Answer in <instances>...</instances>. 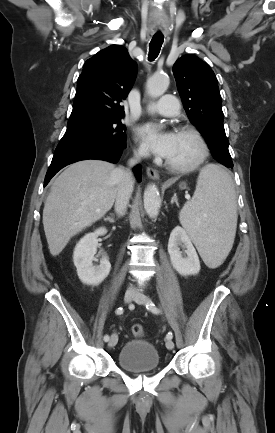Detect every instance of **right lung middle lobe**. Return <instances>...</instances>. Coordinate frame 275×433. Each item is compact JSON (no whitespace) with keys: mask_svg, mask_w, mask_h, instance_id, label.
<instances>
[{"mask_svg":"<svg viewBox=\"0 0 275 433\" xmlns=\"http://www.w3.org/2000/svg\"><path fill=\"white\" fill-rule=\"evenodd\" d=\"M117 116L89 115L69 118L67 130L56 149L99 145H125L126 127Z\"/></svg>","mask_w":275,"mask_h":433,"instance_id":"obj_1","label":"right lung middle lobe"}]
</instances>
